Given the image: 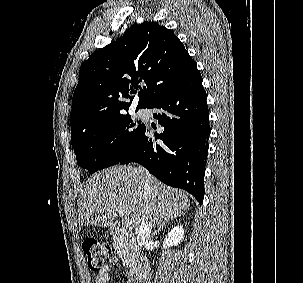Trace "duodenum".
<instances>
[{
    "mask_svg": "<svg viewBox=\"0 0 303 283\" xmlns=\"http://www.w3.org/2000/svg\"><path fill=\"white\" fill-rule=\"evenodd\" d=\"M123 228L119 223H114L111 226V235L115 238H121L123 235ZM151 278V266L147 258L138 256V264L134 283H149Z\"/></svg>",
    "mask_w": 303,
    "mask_h": 283,
    "instance_id": "obj_1",
    "label": "duodenum"
}]
</instances>
